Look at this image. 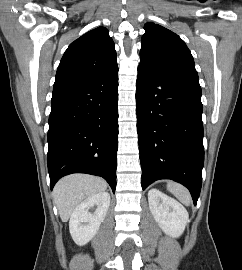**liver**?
I'll use <instances>...</instances> for the list:
<instances>
[{
  "mask_svg": "<svg viewBox=\"0 0 242 270\" xmlns=\"http://www.w3.org/2000/svg\"><path fill=\"white\" fill-rule=\"evenodd\" d=\"M107 183L99 177L74 174L62 178L54 187V202L60 218L67 222L76 207L88 197L104 192Z\"/></svg>",
  "mask_w": 242,
  "mask_h": 270,
  "instance_id": "6515ba94",
  "label": "liver"
}]
</instances>
